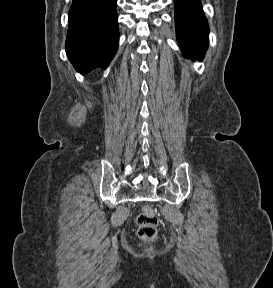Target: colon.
Returning a JSON list of instances; mask_svg holds the SVG:
<instances>
[{"instance_id":"1","label":"colon","mask_w":273,"mask_h":288,"mask_svg":"<svg viewBox=\"0 0 273 288\" xmlns=\"http://www.w3.org/2000/svg\"><path fill=\"white\" fill-rule=\"evenodd\" d=\"M138 235L146 241H154L157 237L158 218L153 208L144 205L141 207L137 217Z\"/></svg>"}]
</instances>
